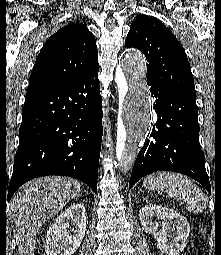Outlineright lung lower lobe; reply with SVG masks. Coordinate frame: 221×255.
<instances>
[{
    "instance_id": "98d812e1",
    "label": "right lung lower lobe",
    "mask_w": 221,
    "mask_h": 255,
    "mask_svg": "<svg viewBox=\"0 0 221 255\" xmlns=\"http://www.w3.org/2000/svg\"><path fill=\"white\" fill-rule=\"evenodd\" d=\"M98 70L26 93L8 201L22 184L47 175L76 178L97 193L103 134Z\"/></svg>"
}]
</instances>
